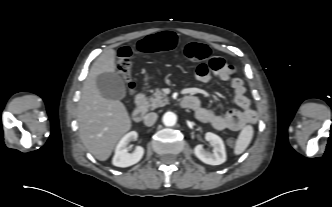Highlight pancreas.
<instances>
[{
  "instance_id": "cf45deb5",
  "label": "pancreas",
  "mask_w": 332,
  "mask_h": 207,
  "mask_svg": "<svg viewBox=\"0 0 332 207\" xmlns=\"http://www.w3.org/2000/svg\"><path fill=\"white\" fill-rule=\"evenodd\" d=\"M168 103V98L162 90L157 89L150 98L142 101V105L147 109H156Z\"/></svg>"
}]
</instances>
